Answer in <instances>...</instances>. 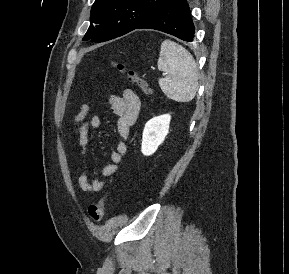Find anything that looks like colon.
Returning <instances> with one entry per match:
<instances>
[{"mask_svg":"<svg viewBox=\"0 0 289 274\" xmlns=\"http://www.w3.org/2000/svg\"><path fill=\"white\" fill-rule=\"evenodd\" d=\"M112 67L120 74L126 76L127 80L133 84H135L141 92L144 94H151V88L148 84V82L140 77L135 71L127 69L125 65L118 63V62H112ZM106 201L107 196L105 195L102 197L97 204L90 205L88 208V215L89 218L94 222H99L104 213L106 208Z\"/></svg>","mask_w":289,"mask_h":274,"instance_id":"colon-1","label":"colon"}]
</instances>
